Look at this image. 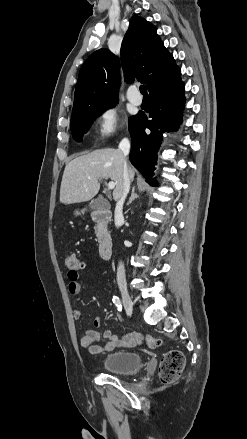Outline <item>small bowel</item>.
Instances as JSON below:
<instances>
[{
	"label": "small bowel",
	"instance_id": "small-bowel-1",
	"mask_svg": "<svg viewBox=\"0 0 247 439\" xmlns=\"http://www.w3.org/2000/svg\"><path fill=\"white\" fill-rule=\"evenodd\" d=\"M69 285L68 290L72 295H77L81 292V284L79 282L78 271L69 270L68 272ZM73 316L78 319L81 316V311L78 308L73 310ZM103 319L98 317L94 320V326L99 327ZM101 337L105 342L101 345L96 344ZM141 337L136 333H128L123 337H118L110 330H106L100 334L96 330H86L80 337L81 346L90 354H103L111 352L116 348L132 347L140 344Z\"/></svg>",
	"mask_w": 247,
	"mask_h": 439
}]
</instances>
